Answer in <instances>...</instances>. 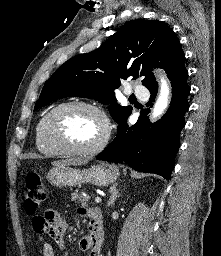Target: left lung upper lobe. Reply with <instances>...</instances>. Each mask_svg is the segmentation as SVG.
Segmentation results:
<instances>
[{
	"mask_svg": "<svg viewBox=\"0 0 221 256\" xmlns=\"http://www.w3.org/2000/svg\"><path fill=\"white\" fill-rule=\"evenodd\" d=\"M185 55L174 32L156 20H132L113 34L103 47L77 55L62 64L43 86L34 110L65 97H85L110 104L117 123L127 120L131 106L115 103L114 90L124 79L145 76L142 84H157L152 67L170 78L184 68Z\"/></svg>",
	"mask_w": 221,
	"mask_h": 256,
	"instance_id": "left-lung-upper-lobe-1",
	"label": "left lung upper lobe"
}]
</instances>
